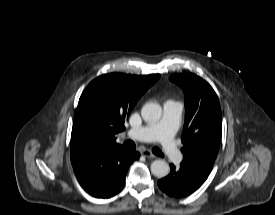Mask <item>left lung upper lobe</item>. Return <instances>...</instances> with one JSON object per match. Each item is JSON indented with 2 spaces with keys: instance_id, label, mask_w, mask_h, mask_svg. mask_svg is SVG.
I'll return each mask as SVG.
<instances>
[{
  "instance_id": "5c2ea615",
  "label": "left lung upper lobe",
  "mask_w": 275,
  "mask_h": 215,
  "mask_svg": "<svg viewBox=\"0 0 275 215\" xmlns=\"http://www.w3.org/2000/svg\"><path fill=\"white\" fill-rule=\"evenodd\" d=\"M169 79L179 85L185 94L182 163L208 176L215 162L222 134L218 97L205 80L194 74H176Z\"/></svg>"
}]
</instances>
